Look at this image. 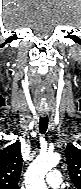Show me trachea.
Segmentation results:
<instances>
[{
  "mask_svg": "<svg viewBox=\"0 0 81 189\" xmlns=\"http://www.w3.org/2000/svg\"><path fill=\"white\" fill-rule=\"evenodd\" d=\"M48 128V116H41L39 121V130L41 134H45Z\"/></svg>",
  "mask_w": 81,
  "mask_h": 189,
  "instance_id": "obj_1",
  "label": "trachea"
}]
</instances>
